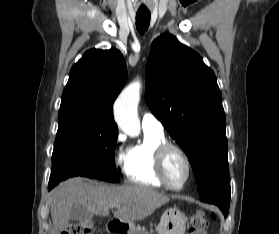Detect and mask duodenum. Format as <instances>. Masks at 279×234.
Instances as JSON below:
<instances>
[{
	"mask_svg": "<svg viewBox=\"0 0 279 234\" xmlns=\"http://www.w3.org/2000/svg\"><path fill=\"white\" fill-rule=\"evenodd\" d=\"M109 228L114 233L122 232L121 226L117 221H111L109 224Z\"/></svg>",
	"mask_w": 279,
	"mask_h": 234,
	"instance_id": "1",
	"label": "duodenum"
}]
</instances>
